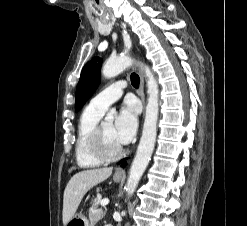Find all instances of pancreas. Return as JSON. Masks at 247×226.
Returning a JSON list of instances; mask_svg holds the SVG:
<instances>
[{"mask_svg": "<svg viewBox=\"0 0 247 226\" xmlns=\"http://www.w3.org/2000/svg\"><path fill=\"white\" fill-rule=\"evenodd\" d=\"M98 202H99V200L98 201H97V199L94 200L93 204L89 210V221L91 222V224L97 223L106 214V212L103 211L102 209H98Z\"/></svg>", "mask_w": 247, "mask_h": 226, "instance_id": "pancreas-1", "label": "pancreas"}]
</instances>
